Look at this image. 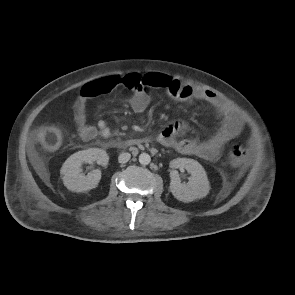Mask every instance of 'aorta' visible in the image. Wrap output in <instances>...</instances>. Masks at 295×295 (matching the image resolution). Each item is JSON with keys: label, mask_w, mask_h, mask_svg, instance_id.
Masks as SVG:
<instances>
[{"label": "aorta", "mask_w": 295, "mask_h": 295, "mask_svg": "<svg viewBox=\"0 0 295 295\" xmlns=\"http://www.w3.org/2000/svg\"><path fill=\"white\" fill-rule=\"evenodd\" d=\"M151 161V157L147 153H141L139 156V163L142 165H148Z\"/></svg>", "instance_id": "762f6f07"}]
</instances>
